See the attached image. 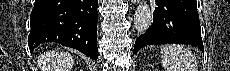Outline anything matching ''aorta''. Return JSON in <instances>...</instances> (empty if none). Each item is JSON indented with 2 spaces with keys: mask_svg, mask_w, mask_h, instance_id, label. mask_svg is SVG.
Here are the masks:
<instances>
[{
  "mask_svg": "<svg viewBox=\"0 0 230 71\" xmlns=\"http://www.w3.org/2000/svg\"><path fill=\"white\" fill-rule=\"evenodd\" d=\"M152 24V11L145 1L140 2L134 16V29L137 32H145Z\"/></svg>",
  "mask_w": 230,
  "mask_h": 71,
  "instance_id": "762f6f07",
  "label": "aorta"
}]
</instances>
